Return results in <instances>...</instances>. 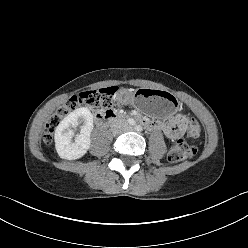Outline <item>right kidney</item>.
Listing matches in <instances>:
<instances>
[{
    "label": "right kidney",
    "instance_id": "right-kidney-1",
    "mask_svg": "<svg viewBox=\"0 0 248 248\" xmlns=\"http://www.w3.org/2000/svg\"><path fill=\"white\" fill-rule=\"evenodd\" d=\"M83 122L80 133L73 141L74 130ZM93 129V117L89 109L82 107L68 114L55 130V147L58 155L67 160H76L84 156L90 148V134Z\"/></svg>",
    "mask_w": 248,
    "mask_h": 248
}]
</instances>
